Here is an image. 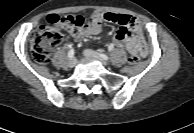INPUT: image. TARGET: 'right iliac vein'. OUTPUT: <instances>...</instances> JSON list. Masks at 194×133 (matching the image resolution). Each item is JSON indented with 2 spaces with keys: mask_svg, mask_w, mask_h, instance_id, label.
I'll return each instance as SVG.
<instances>
[{
  "mask_svg": "<svg viewBox=\"0 0 194 133\" xmlns=\"http://www.w3.org/2000/svg\"><path fill=\"white\" fill-rule=\"evenodd\" d=\"M75 65H76V59H75V58L69 59V61H68V66H69L70 68H73Z\"/></svg>",
  "mask_w": 194,
  "mask_h": 133,
  "instance_id": "obj_1",
  "label": "right iliac vein"
}]
</instances>
